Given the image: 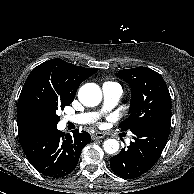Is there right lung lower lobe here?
Masks as SVG:
<instances>
[{"label":"right lung lower lobe","instance_id":"obj_1","mask_svg":"<svg viewBox=\"0 0 194 194\" xmlns=\"http://www.w3.org/2000/svg\"><path fill=\"white\" fill-rule=\"evenodd\" d=\"M21 147L36 170L45 176L62 177L76 167L83 147L91 141L86 131H74L73 136L57 127L38 128L19 136Z\"/></svg>","mask_w":194,"mask_h":194}]
</instances>
